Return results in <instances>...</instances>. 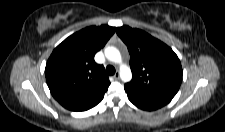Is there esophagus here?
Wrapping results in <instances>:
<instances>
[{"instance_id":"obj_1","label":"esophagus","mask_w":225,"mask_h":132,"mask_svg":"<svg viewBox=\"0 0 225 132\" xmlns=\"http://www.w3.org/2000/svg\"><path fill=\"white\" fill-rule=\"evenodd\" d=\"M114 80H119L120 78V74L119 73H116L114 76H113Z\"/></svg>"}]
</instances>
